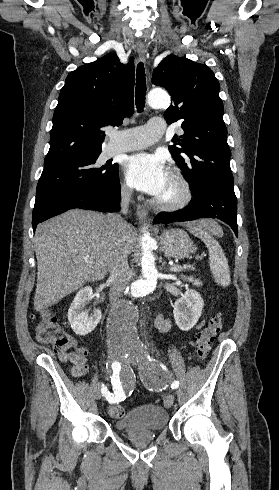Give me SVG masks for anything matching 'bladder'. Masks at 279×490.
I'll list each match as a JSON object with an SVG mask.
<instances>
[{"mask_svg": "<svg viewBox=\"0 0 279 490\" xmlns=\"http://www.w3.org/2000/svg\"><path fill=\"white\" fill-rule=\"evenodd\" d=\"M168 413L159 405H139L116 420L114 427L123 432H160L168 425Z\"/></svg>", "mask_w": 279, "mask_h": 490, "instance_id": "bladder-1", "label": "bladder"}]
</instances>
